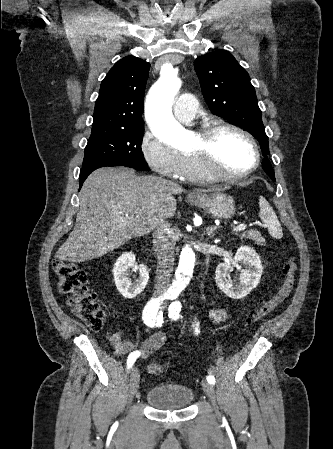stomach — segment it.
<instances>
[{
	"mask_svg": "<svg viewBox=\"0 0 333 449\" xmlns=\"http://www.w3.org/2000/svg\"><path fill=\"white\" fill-rule=\"evenodd\" d=\"M193 201L196 206L217 218H231L236 211L233 197L221 192L203 194L199 198H193Z\"/></svg>",
	"mask_w": 333,
	"mask_h": 449,
	"instance_id": "0dacf381",
	"label": "stomach"
}]
</instances>
